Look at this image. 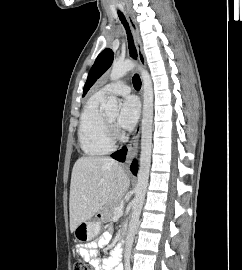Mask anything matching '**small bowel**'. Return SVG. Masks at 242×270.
Wrapping results in <instances>:
<instances>
[{"label":"small bowel","instance_id":"c3829d8e","mask_svg":"<svg viewBox=\"0 0 242 270\" xmlns=\"http://www.w3.org/2000/svg\"><path fill=\"white\" fill-rule=\"evenodd\" d=\"M111 239L109 232L103 233L97 240L81 246L82 255L85 259L90 260V263L97 270H122L120 253H112L106 258L99 259L96 257L99 248L106 247Z\"/></svg>","mask_w":242,"mask_h":270}]
</instances>
